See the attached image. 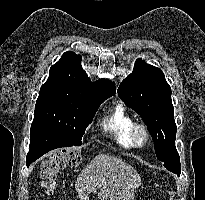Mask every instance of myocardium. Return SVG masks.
Masks as SVG:
<instances>
[{
	"label": "myocardium",
	"instance_id": "1",
	"mask_svg": "<svg viewBox=\"0 0 205 200\" xmlns=\"http://www.w3.org/2000/svg\"><path fill=\"white\" fill-rule=\"evenodd\" d=\"M139 135L144 137L142 142L139 141ZM130 140L133 147L142 148L145 147L150 141V132L148 127L143 123H134L130 129Z\"/></svg>",
	"mask_w": 205,
	"mask_h": 200
}]
</instances>
